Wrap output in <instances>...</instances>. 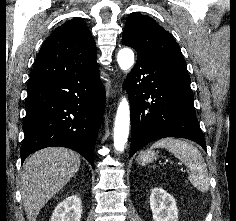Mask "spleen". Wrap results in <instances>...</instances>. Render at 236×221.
<instances>
[{
	"label": "spleen",
	"instance_id": "1",
	"mask_svg": "<svg viewBox=\"0 0 236 221\" xmlns=\"http://www.w3.org/2000/svg\"><path fill=\"white\" fill-rule=\"evenodd\" d=\"M155 148H166L179 160L190 168L189 180L201 192L209 188V177L207 165L201 152L187 141L176 138H163L157 140L152 146Z\"/></svg>",
	"mask_w": 236,
	"mask_h": 221
}]
</instances>
